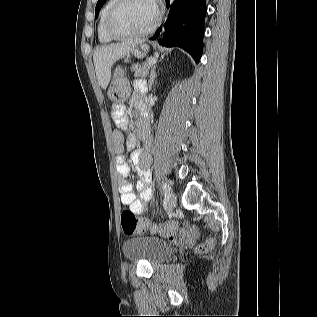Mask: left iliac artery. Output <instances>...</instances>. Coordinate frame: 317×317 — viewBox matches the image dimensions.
<instances>
[{"label":"left iliac artery","mask_w":317,"mask_h":317,"mask_svg":"<svg viewBox=\"0 0 317 317\" xmlns=\"http://www.w3.org/2000/svg\"><path fill=\"white\" fill-rule=\"evenodd\" d=\"M162 190H163V193L165 194V196L169 195L170 194V186L167 182H164L163 185H162Z\"/></svg>","instance_id":"44dca946"}]
</instances>
